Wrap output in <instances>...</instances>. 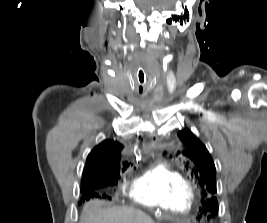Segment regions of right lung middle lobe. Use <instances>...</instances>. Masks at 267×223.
<instances>
[{
    "label": "right lung middle lobe",
    "mask_w": 267,
    "mask_h": 223,
    "mask_svg": "<svg viewBox=\"0 0 267 223\" xmlns=\"http://www.w3.org/2000/svg\"><path fill=\"white\" fill-rule=\"evenodd\" d=\"M120 169H113L106 173L101 179L106 181L105 186H108L110 184H117V180L119 178ZM97 196L94 192L90 193H83V196L81 198V201L84 199H89L90 197Z\"/></svg>",
    "instance_id": "obj_1"
}]
</instances>
